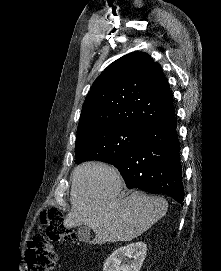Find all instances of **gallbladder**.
<instances>
[{
  "mask_svg": "<svg viewBox=\"0 0 221 271\" xmlns=\"http://www.w3.org/2000/svg\"><path fill=\"white\" fill-rule=\"evenodd\" d=\"M77 235L79 241H90L91 227H88V225H79Z\"/></svg>",
  "mask_w": 221,
  "mask_h": 271,
  "instance_id": "gallbladder-1",
  "label": "gallbladder"
}]
</instances>
